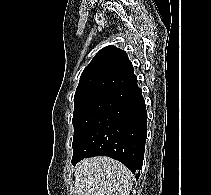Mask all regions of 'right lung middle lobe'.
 Segmentation results:
<instances>
[{"instance_id": "right-lung-middle-lobe-1", "label": "right lung middle lobe", "mask_w": 211, "mask_h": 195, "mask_svg": "<svg viewBox=\"0 0 211 195\" xmlns=\"http://www.w3.org/2000/svg\"><path fill=\"white\" fill-rule=\"evenodd\" d=\"M113 92L106 90L86 91L74 96V126L73 151L90 129Z\"/></svg>"}]
</instances>
